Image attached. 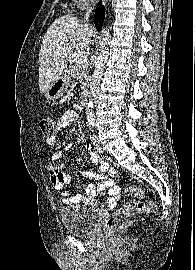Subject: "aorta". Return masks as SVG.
Listing matches in <instances>:
<instances>
[{"label": "aorta", "mask_w": 195, "mask_h": 270, "mask_svg": "<svg viewBox=\"0 0 195 270\" xmlns=\"http://www.w3.org/2000/svg\"><path fill=\"white\" fill-rule=\"evenodd\" d=\"M110 32L109 29L103 28L100 35L99 40V53L95 61V69L93 73V79H92V87L90 92V97L88 101V117H92L93 114V108L94 104L96 103L97 94H98V86L100 83V79L103 75V69L106 62V59L108 57V50L110 45Z\"/></svg>", "instance_id": "aorta-1"}]
</instances>
